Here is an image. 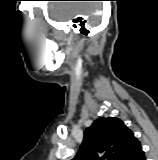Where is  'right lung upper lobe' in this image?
Returning <instances> with one entry per match:
<instances>
[{
  "label": "right lung upper lobe",
  "instance_id": "obj_1",
  "mask_svg": "<svg viewBox=\"0 0 158 160\" xmlns=\"http://www.w3.org/2000/svg\"><path fill=\"white\" fill-rule=\"evenodd\" d=\"M133 132L118 118H99L84 131L72 160H128L139 148Z\"/></svg>",
  "mask_w": 158,
  "mask_h": 160
}]
</instances>
